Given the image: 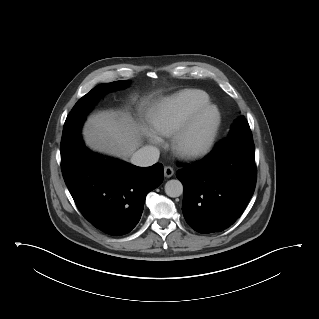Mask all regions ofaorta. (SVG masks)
I'll return each instance as SVG.
<instances>
[{
	"label": "aorta",
	"instance_id": "obj_1",
	"mask_svg": "<svg viewBox=\"0 0 319 319\" xmlns=\"http://www.w3.org/2000/svg\"><path fill=\"white\" fill-rule=\"evenodd\" d=\"M165 193L172 198L179 197L183 193V185L179 180H169L165 184Z\"/></svg>",
	"mask_w": 319,
	"mask_h": 319
}]
</instances>
